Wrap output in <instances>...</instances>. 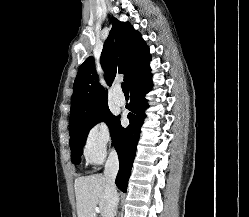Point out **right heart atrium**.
<instances>
[{"mask_svg": "<svg viewBox=\"0 0 249 217\" xmlns=\"http://www.w3.org/2000/svg\"><path fill=\"white\" fill-rule=\"evenodd\" d=\"M112 144V137L104 121H98L89 129L84 145L83 154L87 163L100 164Z\"/></svg>", "mask_w": 249, "mask_h": 217, "instance_id": "1", "label": "right heart atrium"}]
</instances>
